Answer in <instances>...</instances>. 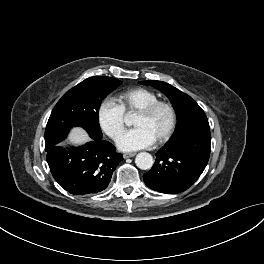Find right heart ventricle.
Returning a JSON list of instances; mask_svg holds the SVG:
<instances>
[{"label": "right heart ventricle", "mask_w": 264, "mask_h": 264, "mask_svg": "<svg viewBox=\"0 0 264 264\" xmlns=\"http://www.w3.org/2000/svg\"><path fill=\"white\" fill-rule=\"evenodd\" d=\"M117 100L125 113H135L159 100V96L152 90L137 87L121 92Z\"/></svg>", "instance_id": "1"}]
</instances>
